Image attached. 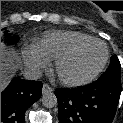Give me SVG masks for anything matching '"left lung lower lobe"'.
<instances>
[{"label": "left lung lower lobe", "mask_w": 123, "mask_h": 123, "mask_svg": "<svg viewBox=\"0 0 123 123\" xmlns=\"http://www.w3.org/2000/svg\"><path fill=\"white\" fill-rule=\"evenodd\" d=\"M120 90V83L99 80L76 89H56L59 123H112Z\"/></svg>", "instance_id": "obj_1"}]
</instances>
